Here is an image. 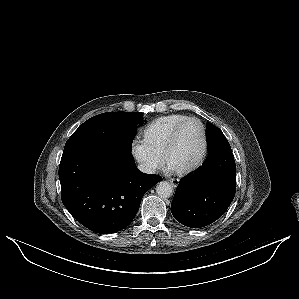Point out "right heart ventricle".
Here are the masks:
<instances>
[{
  "label": "right heart ventricle",
  "instance_id": "obj_1",
  "mask_svg": "<svg viewBox=\"0 0 299 299\" xmlns=\"http://www.w3.org/2000/svg\"><path fill=\"white\" fill-rule=\"evenodd\" d=\"M190 117L184 114H170L158 118L144 132V144L150 153L161 156L171 133Z\"/></svg>",
  "mask_w": 299,
  "mask_h": 299
}]
</instances>
